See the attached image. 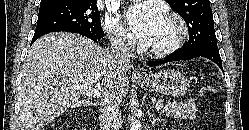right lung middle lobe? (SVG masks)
I'll return each instance as SVG.
<instances>
[{
  "label": "right lung middle lobe",
  "mask_w": 249,
  "mask_h": 130,
  "mask_svg": "<svg viewBox=\"0 0 249 130\" xmlns=\"http://www.w3.org/2000/svg\"><path fill=\"white\" fill-rule=\"evenodd\" d=\"M95 0H65L58 4L40 6L34 35L80 29L104 36Z\"/></svg>",
  "instance_id": "right-lung-middle-lobe-1"
}]
</instances>
